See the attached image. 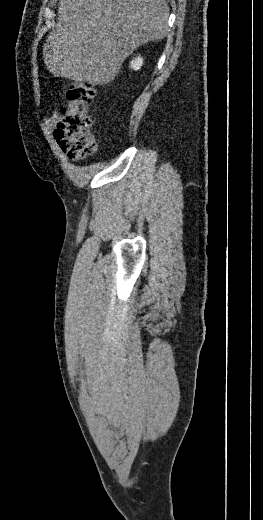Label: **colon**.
Here are the masks:
<instances>
[{"instance_id":"1","label":"colon","mask_w":263,"mask_h":520,"mask_svg":"<svg viewBox=\"0 0 263 520\" xmlns=\"http://www.w3.org/2000/svg\"><path fill=\"white\" fill-rule=\"evenodd\" d=\"M95 88L90 83H73L67 90V103L61 111L54 136L60 148L71 160L85 159L95 152L90 133V109Z\"/></svg>"}]
</instances>
